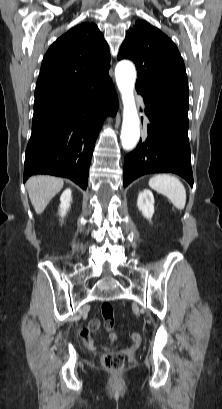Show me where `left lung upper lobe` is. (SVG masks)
Returning <instances> with one entry per match:
<instances>
[{"instance_id":"5c2ea615","label":"left lung upper lobe","mask_w":222,"mask_h":409,"mask_svg":"<svg viewBox=\"0 0 222 409\" xmlns=\"http://www.w3.org/2000/svg\"><path fill=\"white\" fill-rule=\"evenodd\" d=\"M130 59L137 68L136 89L143 98L182 99L188 103L185 65L176 45L146 21L127 32L118 59Z\"/></svg>"}]
</instances>
